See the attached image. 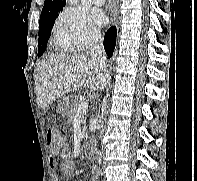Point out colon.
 I'll return each instance as SVG.
<instances>
[{
    "label": "colon",
    "mask_w": 197,
    "mask_h": 181,
    "mask_svg": "<svg viewBox=\"0 0 197 181\" xmlns=\"http://www.w3.org/2000/svg\"><path fill=\"white\" fill-rule=\"evenodd\" d=\"M47 143L50 151L57 153L63 144L62 136L55 127H49L46 133Z\"/></svg>",
    "instance_id": "colon-1"
}]
</instances>
